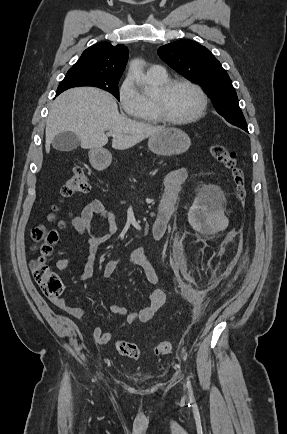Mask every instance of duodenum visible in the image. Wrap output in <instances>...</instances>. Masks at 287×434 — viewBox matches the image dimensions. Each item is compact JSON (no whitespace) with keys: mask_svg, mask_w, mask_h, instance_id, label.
Returning <instances> with one entry per match:
<instances>
[{"mask_svg":"<svg viewBox=\"0 0 287 434\" xmlns=\"http://www.w3.org/2000/svg\"><path fill=\"white\" fill-rule=\"evenodd\" d=\"M95 161L98 165H104L106 163V161L104 159H97L96 158Z\"/></svg>","mask_w":287,"mask_h":434,"instance_id":"1","label":"duodenum"}]
</instances>
